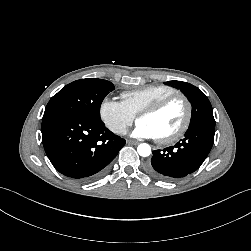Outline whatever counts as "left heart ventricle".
Returning <instances> with one entry per match:
<instances>
[{
    "instance_id": "obj_1",
    "label": "left heart ventricle",
    "mask_w": 251,
    "mask_h": 251,
    "mask_svg": "<svg viewBox=\"0 0 251 251\" xmlns=\"http://www.w3.org/2000/svg\"><path fill=\"white\" fill-rule=\"evenodd\" d=\"M185 105L177 99L157 114L141 117L138 122L149 125L157 138L174 133L181 126L185 117Z\"/></svg>"
}]
</instances>
